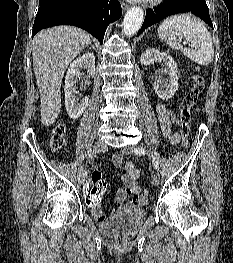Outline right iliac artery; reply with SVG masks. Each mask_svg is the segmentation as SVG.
Wrapping results in <instances>:
<instances>
[{
  "mask_svg": "<svg viewBox=\"0 0 233 263\" xmlns=\"http://www.w3.org/2000/svg\"><path fill=\"white\" fill-rule=\"evenodd\" d=\"M94 156H95L94 153H90V154H89V157H90V158H93Z\"/></svg>",
  "mask_w": 233,
  "mask_h": 263,
  "instance_id": "82829eb1",
  "label": "right iliac artery"
}]
</instances>
